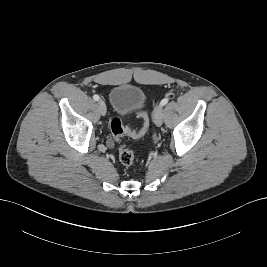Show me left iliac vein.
<instances>
[{
  "instance_id": "obj_1",
  "label": "left iliac vein",
  "mask_w": 267,
  "mask_h": 267,
  "mask_svg": "<svg viewBox=\"0 0 267 267\" xmlns=\"http://www.w3.org/2000/svg\"><path fill=\"white\" fill-rule=\"evenodd\" d=\"M153 119L156 126H161L163 123V107L162 105H158L153 113Z\"/></svg>"
}]
</instances>
